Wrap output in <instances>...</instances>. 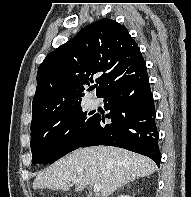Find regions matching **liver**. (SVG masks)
<instances>
[{"mask_svg": "<svg viewBox=\"0 0 191 197\" xmlns=\"http://www.w3.org/2000/svg\"><path fill=\"white\" fill-rule=\"evenodd\" d=\"M155 170L156 165L150 158L122 148H79L40 171L33 189L69 191L73 182L75 191H82L88 185L100 184L101 195L108 197L117 188L149 176Z\"/></svg>", "mask_w": 191, "mask_h": 197, "instance_id": "liver-1", "label": "liver"}]
</instances>
